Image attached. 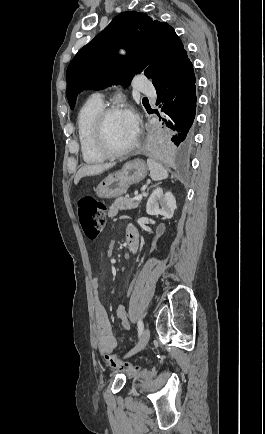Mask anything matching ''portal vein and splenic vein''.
Segmentation results:
<instances>
[{
	"label": "portal vein and splenic vein",
	"instance_id": "1",
	"mask_svg": "<svg viewBox=\"0 0 265 434\" xmlns=\"http://www.w3.org/2000/svg\"><path fill=\"white\" fill-rule=\"evenodd\" d=\"M142 198V194H139V196H135V198H131V200H142Z\"/></svg>",
	"mask_w": 265,
	"mask_h": 434
}]
</instances>
